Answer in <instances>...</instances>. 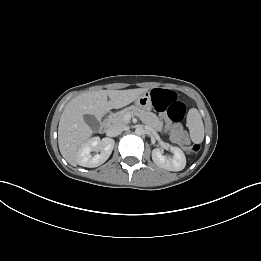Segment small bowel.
Listing matches in <instances>:
<instances>
[{
    "mask_svg": "<svg viewBox=\"0 0 261 261\" xmlns=\"http://www.w3.org/2000/svg\"><path fill=\"white\" fill-rule=\"evenodd\" d=\"M166 129L169 131L171 139L176 143H182L186 141L187 136L180 125L172 124L169 121L166 122Z\"/></svg>",
    "mask_w": 261,
    "mask_h": 261,
    "instance_id": "small-bowel-1",
    "label": "small bowel"
}]
</instances>
